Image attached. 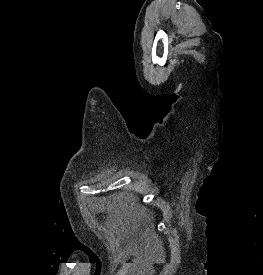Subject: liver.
Masks as SVG:
<instances>
[{
	"instance_id": "6515ba94",
	"label": "liver",
	"mask_w": 263,
	"mask_h": 275,
	"mask_svg": "<svg viewBox=\"0 0 263 275\" xmlns=\"http://www.w3.org/2000/svg\"><path fill=\"white\" fill-rule=\"evenodd\" d=\"M100 202L106 204L109 210H114L119 219H123L128 223L137 219L148 218L146 209L136 206L133 197L124 193L102 198Z\"/></svg>"
}]
</instances>
